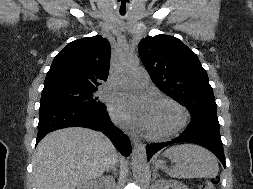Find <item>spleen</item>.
<instances>
[{
  "mask_svg": "<svg viewBox=\"0 0 253 189\" xmlns=\"http://www.w3.org/2000/svg\"><path fill=\"white\" fill-rule=\"evenodd\" d=\"M163 155L175 163L168 172L174 178H214L219 171L216 157L201 146L174 145L165 150Z\"/></svg>",
  "mask_w": 253,
  "mask_h": 189,
  "instance_id": "obj_1",
  "label": "spleen"
}]
</instances>
